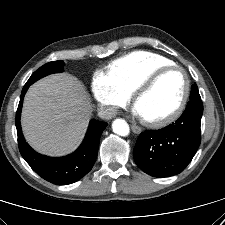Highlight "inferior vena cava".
<instances>
[{
    "label": "inferior vena cava",
    "mask_w": 225,
    "mask_h": 225,
    "mask_svg": "<svg viewBox=\"0 0 225 225\" xmlns=\"http://www.w3.org/2000/svg\"><path fill=\"white\" fill-rule=\"evenodd\" d=\"M117 113V107L110 106V107H101L99 110V116L105 119H110L114 117Z\"/></svg>",
    "instance_id": "inferior-vena-cava-1"
}]
</instances>
